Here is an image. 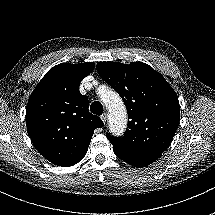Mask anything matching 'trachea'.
<instances>
[{"label": "trachea", "instance_id": "3493384b", "mask_svg": "<svg viewBox=\"0 0 215 215\" xmlns=\"http://www.w3.org/2000/svg\"><path fill=\"white\" fill-rule=\"evenodd\" d=\"M90 110L95 115H101L103 113V105L99 101H95L91 104Z\"/></svg>", "mask_w": 215, "mask_h": 215}]
</instances>
